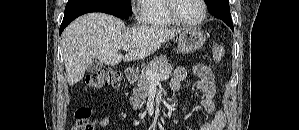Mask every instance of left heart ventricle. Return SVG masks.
I'll return each instance as SVG.
<instances>
[{
  "label": "left heart ventricle",
  "instance_id": "left-heart-ventricle-1",
  "mask_svg": "<svg viewBox=\"0 0 299 130\" xmlns=\"http://www.w3.org/2000/svg\"><path fill=\"white\" fill-rule=\"evenodd\" d=\"M174 11L178 18L185 21L197 19L201 14V5L198 0H176Z\"/></svg>",
  "mask_w": 299,
  "mask_h": 130
}]
</instances>
